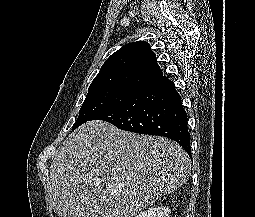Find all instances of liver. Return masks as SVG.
I'll return each instance as SVG.
<instances>
[{
  "label": "liver",
  "mask_w": 255,
  "mask_h": 217,
  "mask_svg": "<svg viewBox=\"0 0 255 217\" xmlns=\"http://www.w3.org/2000/svg\"><path fill=\"white\" fill-rule=\"evenodd\" d=\"M190 169L186 151L167 138L90 121L52 160L49 206L60 217H134L181 187Z\"/></svg>",
  "instance_id": "6515ba94"
}]
</instances>
